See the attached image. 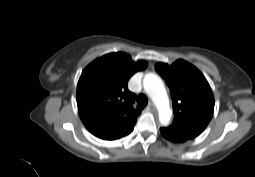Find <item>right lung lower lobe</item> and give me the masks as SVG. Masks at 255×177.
I'll use <instances>...</instances> for the list:
<instances>
[{"label":"right lung lower lobe","instance_id":"obj_1","mask_svg":"<svg viewBox=\"0 0 255 177\" xmlns=\"http://www.w3.org/2000/svg\"><path fill=\"white\" fill-rule=\"evenodd\" d=\"M136 123V122H135ZM135 123H133L132 125H130L129 127H127L124 131H122L121 133H119L118 135L114 136L113 138H111L110 140H116L119 138H122L128 134H130L134 128Z\"/></svg>","mask_w":255,"mask_h":177}]
</instances>
